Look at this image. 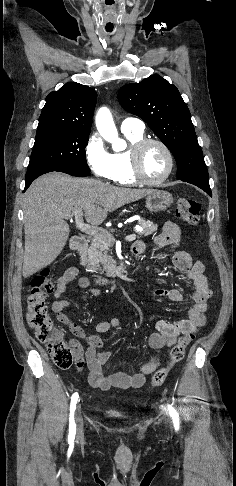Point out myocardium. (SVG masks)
<instances>
[{"mask_svg": "<svg viewBox=\"0 0 236 486\" xmlns=\"http://www.w3.org/2000/svg\"><path fill=\"white\" fill-rule=\"evenodd\" d=\"M151 144L160 146L166 154L168 160V168L165 174L156 180L148 179L142 170V155L144 150ZM130 163L134 178L138 183L148 186H158L164 183L172 174L175 166V160L171 149L161 140L155 138H143L132 145L130 149Z\"/></svg>", "mask_w": 236, "mask_h": 486, "instance_id": "myocardium-1", "label": "myocardium"}]
</instances>
